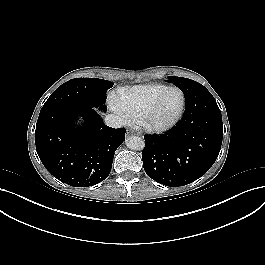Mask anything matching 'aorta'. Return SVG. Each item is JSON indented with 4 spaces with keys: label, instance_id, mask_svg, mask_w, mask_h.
<instances>
[{
    "label": "aorta",
    "instance_id": "1",
    "mask_svg": "<svg viewBox=\"0 0 265 265\" xmlns=\"http://www.w3.org/2000/svg\"><path fill=\"white\" fill-rule=\"evenodd\" d=\"M126 146L131 150H143L145 147V141L139 136H130L126 140Z\"/></svg>",
    "mask_w": 265,
    "mask_h": 265
}]
</instances>
